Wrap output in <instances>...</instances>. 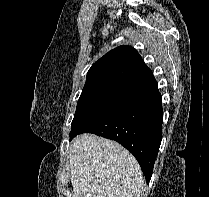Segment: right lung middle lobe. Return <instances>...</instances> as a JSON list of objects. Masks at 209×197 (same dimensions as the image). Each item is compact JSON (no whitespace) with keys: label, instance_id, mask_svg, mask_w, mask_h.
<instances>
[{"label":"right lung middle lobe","instance_id":"right-lung-middle-lobe-1","mask_svg":"<svg viewBox=\"0 0 209 197\" xmlns=\"http://www.w3.org/2000/svg\"><path fill=\"white\" fill-rule=\"evenodd\" d=\"M138 93L135 89L114 82H86L78 100L70 134Z\"/></svg>","mask_w":209,"mask_h":197}]
</instances>
